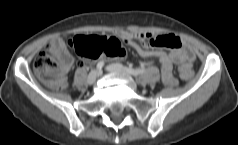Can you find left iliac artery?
<instances>
[{"label": "left iliac artery", "instance_id": "44dca946", "mask_svg": "<svg viewBox=\"0 0 238 145\" xmlns=\"http://www.w3.org/2000/svg\"><path fill=\"white\" fill-rule=\"evenodd\" d=\"M125 69L129 74H131L133 76H139L146 71V69L144 67H142V68L125 67Z\"/></svg>", "mask_w": 238, "mask_h": 145}]
</instances>
